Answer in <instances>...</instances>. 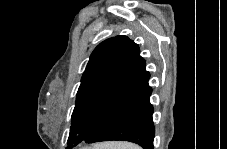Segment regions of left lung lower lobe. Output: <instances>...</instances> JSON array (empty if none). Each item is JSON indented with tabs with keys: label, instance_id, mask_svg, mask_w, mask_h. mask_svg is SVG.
<instances>
[{
	"label": "left lung lower lobe",
	"instance_id": "1",
	"mask_svg": "<svg viewBox=\"0 0 227 149\" xmlns=\"http://www.w3.org/2000/svg\"><path fill=\"white\" fill-rule=\"evenodd\" d=\"M149 78L145 60L141 58L126 89L83 142L123 140L136 143L144 149H153L155 128L152 121L153 106L149 100L152 93Z\"/></svg>",
	"mask_w": 227,
	"mask_h": 149
}]
</instances>
